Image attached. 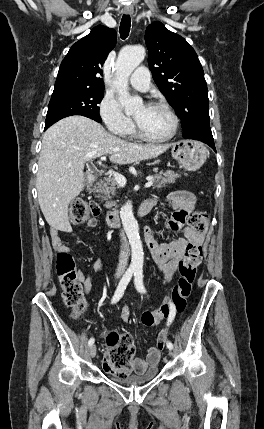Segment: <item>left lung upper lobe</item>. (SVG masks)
<instances>
[{
    "instance_id": "5c2ea615",
    "label": "left lung upper lobe",
    "mask_w": 264,
    "mask_h": 429,
    "mask_svg": "<svg viewBox=\"0 0 264 429\" xmlns=\"http://www.w3.org/2000/svg\"><path fill=\"white\" fill-rule=\"evenodd\" d=\"M145 42L153 79L180 117L183 137L210 127L207 85L194 49L161 22L147 27Z\"/></svg>"
}]
</instances>
